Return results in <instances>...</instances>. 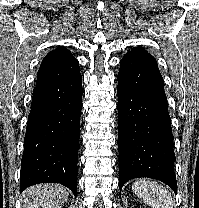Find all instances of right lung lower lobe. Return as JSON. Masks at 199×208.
Returning <instances> with one entry per match:
<instances>
[{
    "mask_svg": "<svg viewBox=\"0 0 199 208\" xmlns=\"http://www.w3.org/2000/svg\"><path fill=\"white\" fill-rule=\"evenodd\" d=\"M82 76L33 90L21 161L20 192L60 183L77 194Z\"/></svg>",
    "mask_w": 199,
    "mask_h": 208,
    "instance_id": "1",
    "label": "right lung lower lobe"
}]
</instances>
